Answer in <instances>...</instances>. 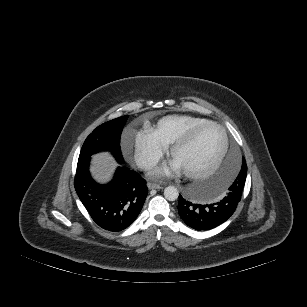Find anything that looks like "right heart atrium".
<instances>
[{"label":"right heart atrium","instance_id":"1","mask_svg":"<svg viewBox=\"0 0 307 307\" xmlns=\"http://www.w3.org/2000/svg\"><path fill=\"white\" fill-rule=\"evenodd\" d=\"M129 146L133 148L134 158L141 168H150L155 165L167 151V146L157 139L150 128L135 132H127L122 140L125 153Z\"/></svg>","mask_w":307,"mask_h":307}]
</instances>
